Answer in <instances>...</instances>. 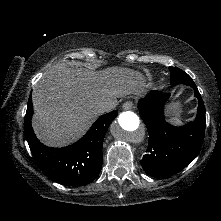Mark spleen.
<instances>
[{
    "mask_svg": "<svg viewBox=\"0 0 221 221\" xmlns=\"http://www.w3.org/2000/svg\"><path fill=\"white\" fill-rule=\"evenodd\" d=\"M170 121H171L172 123H175V124H180V123H181V121H180L178 118H176V117H172V118L170 119Z\"/></svg>",
    "mask_w": 221,
    "mask_h": 221,
    "instance_id": "1",
    "label": "spleen"
}]
</instances>
